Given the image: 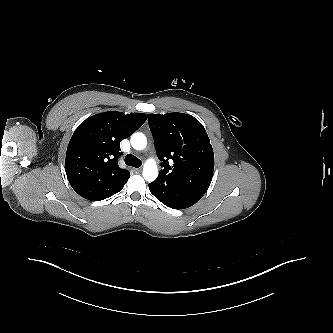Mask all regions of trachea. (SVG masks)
<instances>
[{
  "label": "trachea",
  "mask_w": 333,
  "mask_h": 333,
  "mask_svg": "<svg viewBox=\"0 0 333 333\" xmlns=\"http://www.w3.org/2000/svg\"><path fill=\"white\" fill-rule=\"evenodd\" d=\"M125 164L128 166H133L135 168H139L142 165V162L140 159H138L134 155L128 154L125 157Z\"/></svg>",
  "instance_id": "3493384b"
}]
</instances>
